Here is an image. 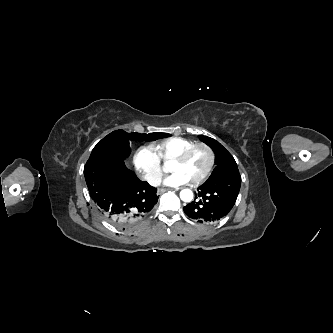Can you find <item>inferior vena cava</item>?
Here are the masks:
<instances>
[{"label": "inferior vena cava", "mask_w": 333, "mask_h": 333, "mask_svg": "<svg viewBox=\"0 0 333 333\" xmlns=\"http://www.w3.org/2000/svg\"><path fill=\"white\" fill-rule=\"evenodd\" d=\"M148 182L152 186H159L161 184V175L151 174L148 176Z\"/></svg>", "instance_id": "obj_1"}]
</instances>
